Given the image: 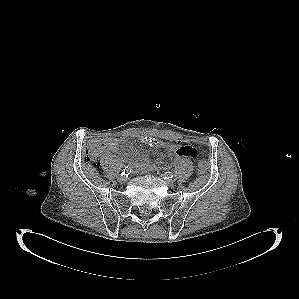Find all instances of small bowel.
Returning <instances> with one entry per match:
<instances>
[{
	"label": "small bowel",
	"instance_id": "small-bowel-1",
	"mask_svg": "<svg viewBox=\"0 0 299 299\" xmlns=\"http://www.w3.org/2000/svg\"><path fill=\"white\" fill-rule=\"evenodd\" d=\"M143 141L149 145L166 149L168 154L180 158H193L196 159L199 156L198 151L190 145L171 144L167 141L160 140L156 137H144ZM104 150L108 152H115L118 150V140L110 139L105 142ZM123 159V157H121ZM130 162L132 166L138 171L149 170L150 164L148 158L139 153L134 152L131 154Z\"/></svg>",
	"mask_w": 299,
	"mask_h": 299
}]
</instances>
